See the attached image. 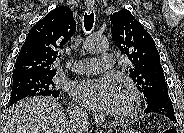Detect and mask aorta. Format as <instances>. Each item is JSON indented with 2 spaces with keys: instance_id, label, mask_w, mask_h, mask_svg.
Segmentation results:
<instances>
[{
  "instance_id": "aorta-1",
  "label": "aorta",
  "mask_w": 184,
  "mask_h": 133,
  "mask_svg": "<svg viewBox=\"0 0 184 133\" xmlns=\"http://www.w3.org/2000/svg\"><path fill=\"white\" fill-rule=\"evenodd\" d=\"M109 47L108 41L104 36L89 35L83 43V48L90 54H98L106 51Z\"/></svg>"
}]
</instances>
